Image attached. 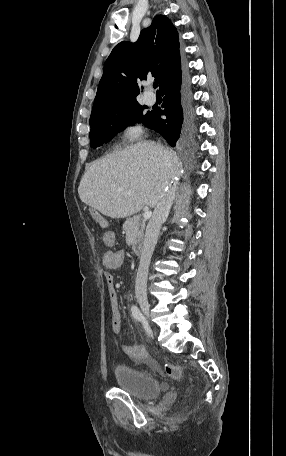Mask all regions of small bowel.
<instances>
[{
	"instance_id": "1",
	"label": "small bowel",
	"mask_w": 286,
	"mask_h": 456,
	"mask_svg": "<svg viewBox=\"0 0 286 456\" xmlns=\"http://www.w3.org/2000/svg\"><path fill=\"white\" fill-rule=\"evenodd\" d=\"M104 243L108 246H112L115 243V236L114 233L111 231H107L104 233L103 237ZM127 257L126 250H119V251H107L103 255L102 263L105 267L106 271L104 272V279L107 286L108 296L110 300V308H111V325L112 329L115 333L119 334L122 330V316L119 309L118 303V295L115 287V280L113 274L110 272L112 270H116L120 268L123 263L125 262ZM123 352L132 360L139 361L136 357V352L139 350H145L144 346L142 345H133L127 346L124 345L122 347Z\"/></svg>"
}]
</instances>
